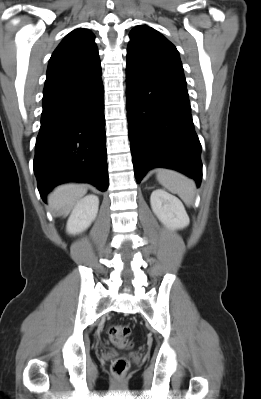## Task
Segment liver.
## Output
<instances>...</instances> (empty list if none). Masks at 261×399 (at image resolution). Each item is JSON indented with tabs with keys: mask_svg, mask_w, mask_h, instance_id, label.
<instances>
[{
	"mask_svg": "<svg viewBox=\"0 0 261 399\" xmlns=\"http://www.w3.org/2000/svg\"><path fill=\"white\" fill-rule=\"evenodd\" d=\"M87 192V186L84 184H64L53 190L48 197L49 206L59 213L60 216H66L74 203L83 197Z\"/></svg>",
	"mask_w": 261,
	"mask_h": 399,
	"instance_id": "1",
	"label": "liver"
}]
</instances>
